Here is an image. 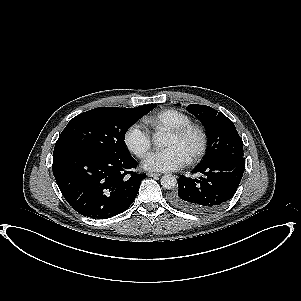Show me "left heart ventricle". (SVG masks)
Instances as JSON below:
<instances>
[{"instance_id": "1", "label": "left heart ventricle", "mask_w": 301, "mask_h": 301, "mask_svg": "<svg viewBox=\"0 0 301 301\" xmlns=\"http://www.w3.org/2000/svg\"><path fill=\"white\" fill-rule=\"evenodd\" d=\"M196 143L197 136L194 133L184 138L166 136L162 139V146L164 148L172 149L184 158L195 148Z\"/></svg>"}]
</instances>
